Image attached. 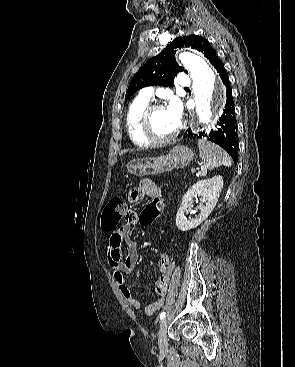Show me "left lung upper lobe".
Here are the masks:
<instances>
[{"label":"left lung upper lobe","mask_w":295,"mask_h":367,"mask_svg":"<svg viewBox=\"0 0 295 367\" xmlns=\"http://www.w3.org/2000/svg\"><path fill=\"white\" fill-rule=\"evenodd\" d=\"M191 47L204 54L213 65L218 58L215 49L208 40L199 35L175 38L168 47L157 56L148 60L131 79L125 98L130 97L143 87L151 85L170 86L173 77L179 72H186L175 60L177 49Z\"/></svg>","instance_id":"obj_1"}]
</instances>
